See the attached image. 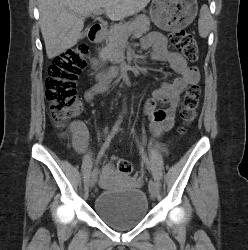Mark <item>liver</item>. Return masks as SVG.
<instances>
[{
    "label": "liver",
    "mask_w": 248,
    "mask_h": 250,
    "mask_svg": "<svg viewBox=\"0 0 248 250\" xmlns=\"http://www.w3.org/2000/svg\"><path fill=\"white\" fill-rule=\"evenodd\" d=\"M150 0H39L40 28L52 59L77 44L87 15L104 9L111 20L140 12Z\"/></svg>",
    "instance_id": "1"
}]
</instances>
